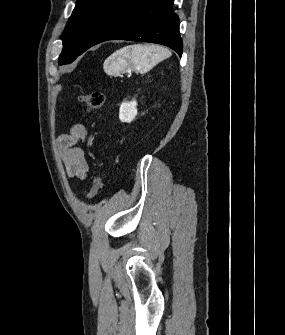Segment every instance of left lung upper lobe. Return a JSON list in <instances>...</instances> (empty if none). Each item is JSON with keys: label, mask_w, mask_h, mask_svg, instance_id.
<instances>
[{"label": "left lung upper lobe", "mask_w": 285, "mask_h": 335, "mask_svg": "<svg viewBox=\"0 0 285 335\" xmlns=\"http://www.w3.org/2000/svg\"><path fill=\"white\" fill-rule=\"evenodd\" d=\"M111 0H77L70 20L65 26L63 50L59 65L69 64L80 55L81 43L90 26Z\"/></svg>", "instance_id": "left-lung-upper-lobe-1"}]
</instances>
